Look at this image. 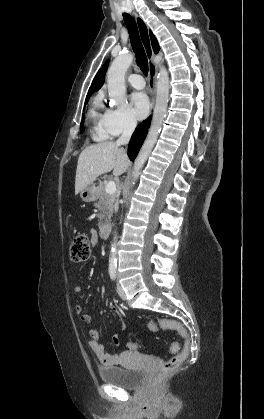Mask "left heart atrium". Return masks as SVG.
Returning a JSON list of instances; mask_svg holds the SVG:
<instances>
[{
    "instance_id": "1",
    "label": "left heart atrium",
    "mask_w": 264,
    "mask_h": 419,
    "mask_svg": "<svg viewBox=\"0 0 264 419\" xmlns=\"http://www.w3.org/2000/svg\"><path fill=\"white\" fill-rule=\"evenodd\" d=\"M131 102L136 117L139 119L145 118L149 112L150 106L147 95L143 92H136L132 94Z\"/></svg>"
}]
</instances>
